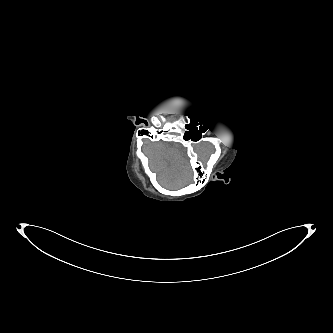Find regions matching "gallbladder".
Listing matches in <instances>:
<instances>
[{
	"label": "gallbladder",
	"mask_w": 333,
	"mask_h": 333,
	"mask_svg": "<svg viewBox=\"0 0 333 333\" xmlns=\"http://www.w3.org/2000/svg\"><path fill=\"white\" fill-rule=\"evenodd\" d=\"M192 104V102H191V100H189V105H191Z\"/></svg>",
	"instance_id": "1"
}]
</instances>
